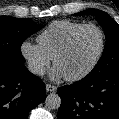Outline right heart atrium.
I'll return each instance as SVG.
<instances>
[{"instance_id": "d8ad5b80", "label": "right heart atrium", "mask_w": 119, "mask_h": 119, "mask_svg": "<svg viewBox=\"0 0 119 119\" xmlns=\"http://www.w3.org/2000/svg\"><path fill=\"white\" fill-rule=\"evenodd\" d=\"M20 49L29 70L33 74L42 75L51 64L52 58H50L38 44L25 41L22 43Z\"/></svg>"}]
</instances>
